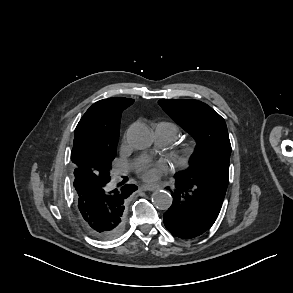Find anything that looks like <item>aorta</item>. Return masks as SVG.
I'll return each mask as SVG.
<instances>
[{"label": "aorta", "mask_w": 293, "mask_h": 293, "mask_svg": "<svg viewBox=\"0 0 293 293\" xmlns=\"http://www.w3.org/2000/svg\"><path fill=\"white\" fill-rule=\"evenodd\" d=\"M128 142L137 149H144L152 143V132L145 124H134L128 131ZM152 203L158 209L167 210L172 205V196L164 190L155 191L152 194Z\"/></svg>", "instance_id": "aorta-1"}]
</instances>
